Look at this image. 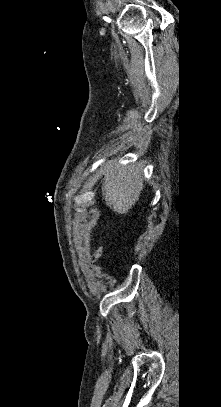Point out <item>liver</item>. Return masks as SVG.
I'll list each match as a JSON object with an SVG mask.
<instances>
[{
  "instance_id": "obj_1",
  "label": "liver",
  "mask_w": 221,
  "mask_h": 407,
  "mask_svg": "<svg viewBox=\"0 0 221 407\" xmlns=\"http://www.w3.org/2000/svg\"><path fill=\"white\" fill-rule=\"evenodd\" d=\"M143 167L135 164L109 165L104 169L102 197L113 211L127 214L144 188Z\"/></svg>"
}]
</instances>
